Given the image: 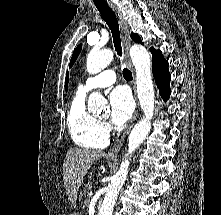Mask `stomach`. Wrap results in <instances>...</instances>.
<instances>
[{"label":"stomach","instance_id":"obj_1","mask_svg":"<svg viewBox=\"0 0 221 215\" xmlns=\"http://www.w3.org/2000/svg\"><path fill=\"white\" fill-rule=\"evenodd\" d=\"M108 161H110V159H108ZM73 215H80V214H78V213H74Z\"/></svg>","mask_w":221,"mask_h":215}]
</instances>
